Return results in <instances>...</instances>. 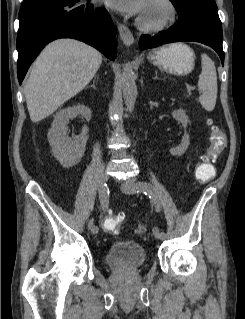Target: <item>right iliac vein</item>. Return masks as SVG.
<instances>
[{"label":"right iliac vein","instance_id":"right-iliac-vein-1","mask_svg":"<svg viewBox=\"0 0 245 319\" xmlns=\"http://www.w3.org/2000/svg\"><path fill=\"white\" fill-rule=\"evenodd\" d=\"M108 179H109V175L106 171L102 172L99 175V178H98L99 196H101L103 194V188H104V185L106 184V182L108 181ZM87 227L89 230L93 229V220L92 219L88 221Z\"/></svg>","mask_w":245,"mask_h":319}]
</instances>
